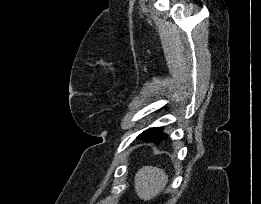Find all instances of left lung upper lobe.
<instances>
[{
  "label": "left lung upper lobe",
  "mask_w": 261,
  "mask_h": 204,
  "mask_svg": "<svg viewBox=\"0 0 261 204\" xmlns=\"http://www.w3.org/2000/svg\"><path fill=\"white\" fill-rule=\"evenodd\" d=\"M161 133H162L161 128H150L145 132L141 133L138 136V139L148 142L149 140L153 139L154 137L158 136Z\"/></svg>",
  "instance_id": "5c2ea615"
}]
</instances>
